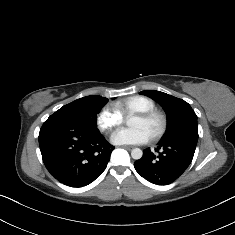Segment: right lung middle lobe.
Instances as JSON below:
<instances>
[{"mask_svg": "<svg viewBox=\"0 0 235 235\" xmlns=\"http://www.w3.org/2000/svg\"><path fill=\"white\" fill-rule=\"evenodd\" d=\"M107 101V98L97 95L86 96L61 107L51 116L68 118L86 127L96 128L97 113Z\"/></svg>", "mask_w": 235, "mask_h": 235, "instance_id": "1", "label": "right lung middle lobe"}]
</instances>
